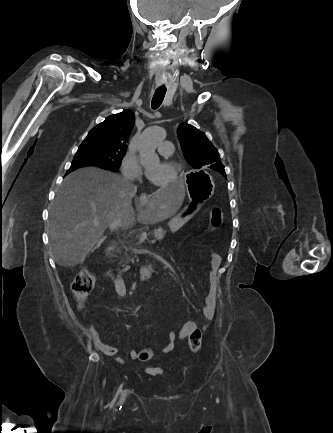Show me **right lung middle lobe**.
Returning a JSON list of instances; mask_svg holds the SVG:
<instances>
[{
	"label": "right lung middle lobe",
	"instance_id": "1",
	"mask_svg": "<svg viewBox=\"0 0 333 433\" xmlns=\"http://www.w3.org/2000/svg\"><path fill=\"white\" fill-rule=\"evenodd\" d=\"M125 153L126 150L106 148L91 142H83L72 163L94 164L111 169L112 171H117Z\"/></svg>",
	"mask_w": 333,
	"mask_h": 433
}]
</instances>
